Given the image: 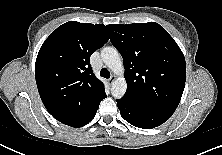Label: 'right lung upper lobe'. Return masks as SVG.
<instances>
[{
	"instance_id": "obj_1",
	"label": "right lung upper lobe",
	"mask_w": 222,
	"mask_h": 155,
	"mask_svg": "<svg viewBox=\"0 0 222 155\" xmlns=\"http://www.w3.org/2000/svg\"><path fill=\"white\" fill-rule=\"evenodd\" d=\"M103 24L69 21L42 44L35 77L42 102L58 121L83 115L106 96L90 66V56L108 40Z\"/></svg>"
}]
</instances>
